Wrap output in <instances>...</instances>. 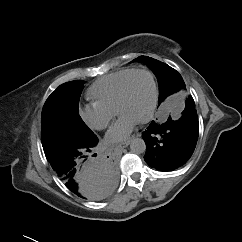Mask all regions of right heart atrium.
<instances>
[{
  "mask_svg": "<svg viewBox=\"0 0 242 242\" xmlns=\"http://www.w3.org/2000/svg\"><path fill=\"white\" fill-rule=\"evenodd\" d=\"M78 114L88 127L95 130H103L108 127L114 118L115 111L93 102L81 106Z\"/></svg>",
  "mask_w": 242,
  "mask_h": 242,
  "instance_id": "1",
  "label": "right heart atrium"
}]
</instances>
